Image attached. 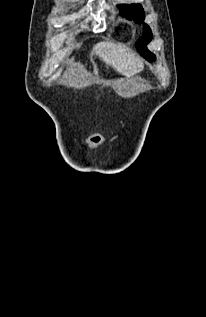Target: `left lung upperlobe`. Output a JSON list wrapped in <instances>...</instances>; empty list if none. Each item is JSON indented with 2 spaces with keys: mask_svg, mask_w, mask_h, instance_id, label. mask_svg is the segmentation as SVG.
Instances as JSON below:
<instances>
[{
  "mask_svg": "<svg viewBox=\"0 0 206 317\" xmlns=\"http://www.w3.org/2000/svg\"><path fill=\"white\" fill-rule=\"evenodd\" d=\"M121 8V13L124 16H127L129 19H134L137 23H143L145 18V13L142 5L140 4H122L119 5ZM144 25L143 36L136 43V48L139 53L149 61L155 60V56L147 49L146 44L149 43L152 39L151 29L147 24Z\"/></svg>",
  "mask_w": 206,
  "mask_h": 317,
  "instance_id": "5c2ea615",
  "label": "left lung upper lobe"
}]
</instances>
